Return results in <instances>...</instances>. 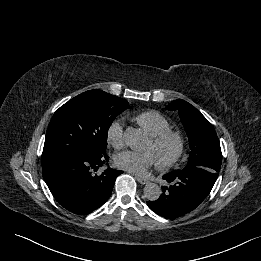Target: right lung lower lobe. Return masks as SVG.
I'll return each instance as SVG.
<instances>
[{
  "instance_id": "obj_1",
  "label": "right lung lower lobe",
  "mask_w": 261,
  "mask_h": 261,
  "mask_svg": "<svg viewBox=\"0 0 261 261\" xmlns=\"http://www.w3.org/2000/svg\"><path fill=\"white\" fill-rule=\"evenodd\" d=\"M109 157L99 152H60L42 156L44 180L55 200L68 211L86 215L110 197L123 171L108 167L94 174Z\"/></svg>"
}]
</instances>
